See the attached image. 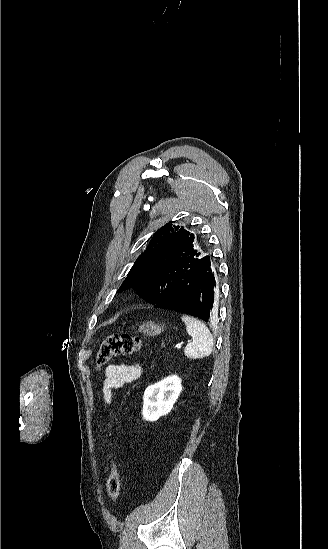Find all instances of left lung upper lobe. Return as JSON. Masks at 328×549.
<instances>
[{
  "mask_svg": "<svg viewBox=\"0 0 328 549\" xmlns=\"http://www.w3.org/2000/svg\"><path fill=\"white\" fill-rule=\"evenodd\" d=\"M194 241V235L183 227L172 224L161 227L135 261L118 292L133 287L152 304L170 296L178 281L201 256Z\"/></svg>",
  "mask_w": 328,
  "mask_h": 549,
  "instance_id": "5c2ea615",
  "label": "left lung upper lobe"
}]
</instances>
